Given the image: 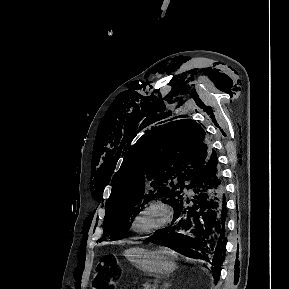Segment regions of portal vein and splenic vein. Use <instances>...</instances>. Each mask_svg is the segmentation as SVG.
Segmentation results:
<instances>
[{"instance_id":"18ae733b","label":"portal vein and splenic vein","mask_w":289,"mask_h":289,"mask_svg":"<svg viewBox=\"0 0 289 289\" xmlns=\"http://www.w3.org/2000/svg\"><path fill=\"white\" fill-rule=\"evenodd\" d=\"M157 285H154V289H156Z\"/></svg>"}]
</instances>
